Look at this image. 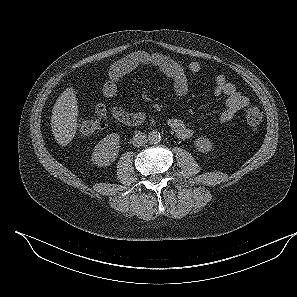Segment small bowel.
I'll use <instances>...</instances> for the list:
<instances>
[{
    "label": "small bowel",
    "instance_id": "1",
    "mask_svg": "<svg viewBox=\"0 0 297 297\" xmlns=\"http://www.w3.org/2000/svg\"><path fill=\"white\" fill-rule=\"evenodd\" d=\"M143 66L154 67L171 78L177 96H183L188 91L187 75L189 73H198L202 68L201 63L198 61L185 64L180 60L158 52H133L110 66L108 80L104 83L102 89L103 95L109 99L115 97L118 92L117 83L119 79L134 69ZM215 83L214 94L225 98V108L219 115V121L225 123L230 121L238 111L246 107L249 104V99L240 93L224 75H218ZM95 111L100 116L109 112L114 119L126 125L140 124L146 117L142 112L129 113L120 106L108 105L104 102L98 103ZM167 124L179 139L189 140L194 136L193 129L178 117H170Z\"/></svg>",
    "mask_w": 297,
    "mask_h": 297
}]
</instances>
